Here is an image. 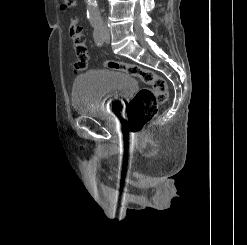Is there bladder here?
<instances>
[{
	"label": "bladder",
	"mask_w": 247,
	"mask_h": 245,
	"mask_svg": "<svg viewBox=\"0 0 247 245\" xmlns=\"http://www.w3.org/2000/svg\"><path fill=\"white\" fill-rule=\"evenodd\" d=\"M135 88V79L126 73L111 69H92L74 80L72 106L79 115L103 117L108 113H115Z\"/></svg>",
	"instance_id": "1"
}]
</instances>
